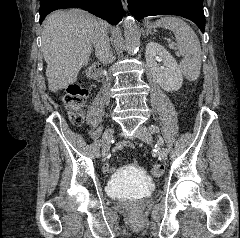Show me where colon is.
Listing matches in <instances>:
<instances>
[{
    "mask_svg": "<svg viewBox=\"0 0 240 238\" xmlns=\"http://www.w3.org/2000/svg\"><path fill=\"white\" fill-rule=\"evenodd\" d=\"M84 74L88 79L98 80L100 78L101 71L97 65H92L86 69ZM87 97L88 89L83 85L81 80L68 85L64 101L70 121L75 126H80L84 121ZM163 172L164 167L161 164H155L151 168V173L154 177L161 176Z\"/></svg>",
    "mask_w": 240,
    "mask_h": 238,
    "instance_id": "colon-1",
    "label": "colon"
}]
</instances>
